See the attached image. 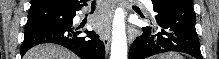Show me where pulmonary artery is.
Listing matches in <instances>:
<instances>
[{
	"label": "pulmonary artery",
	"mask_w": 219,
	"mask_h": 59,
	"mask_svg": "<svg viewBox=\"0 0 219 59\" xmlns=\"http://www.w3.org/2000/svg\"><path fill=\"white\" fill-rule=\"evenodd\" d=\"M141 3L146 7V9L152 10V3H151V1H141Z\"/></svg>",
	"instance_id": "obj_1"
}]
</instances>
